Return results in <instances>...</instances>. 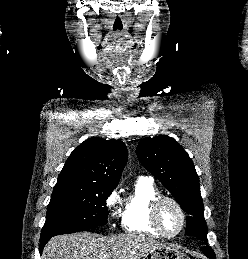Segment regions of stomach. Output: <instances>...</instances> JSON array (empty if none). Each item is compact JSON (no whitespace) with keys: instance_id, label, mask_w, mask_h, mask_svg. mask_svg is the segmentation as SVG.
Here are the masks:
<instances>
[{"instance_id":"0dacf381","label":"stomach","mask_w":248,"mask_h":259,"mask_svg":"<svg viewBox=\"0 0 248 259\" xmlns=\"http://www.w3.org/2000/svg\"><path fill=\"white\" fill-rule=\"evenodd\" d=\"M143 259H190V257L176 248L162 246L148 252Z\"/></svg>"}]
</instances>
